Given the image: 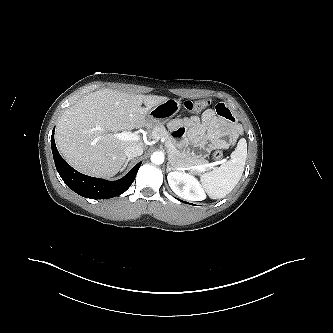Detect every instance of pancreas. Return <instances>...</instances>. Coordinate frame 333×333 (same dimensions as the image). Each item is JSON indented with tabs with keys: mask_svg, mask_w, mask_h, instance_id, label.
Returning a JSON list of instances; mask_svg holds the SVG:
<instances>
[{
	"mask_svg": "<svg viewBox=\"0 0 333 333\" xmlns=\"http://www.w3.org/2000/svg\"><path fill=\"white\" fill-rule=\"evenodd\" d=\"M152 138H164L166 140V148L168 151L169 164L179 165H203L207 161L198 156L185 151L181 144L175 142L168 134V131L163 125H155L151 131ZM208 168H206L207 170Z\"/></svg>",
	"mask_w": 333,
	"mask_h": 333,
	"instance_id": "1",
	"label": "pancreas"
}]
</instances>
